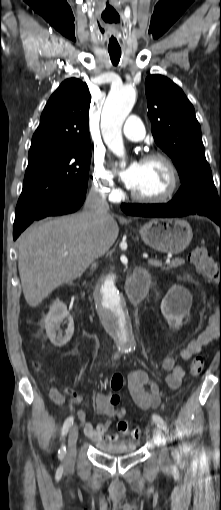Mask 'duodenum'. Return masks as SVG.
I'll list each match as a JSON object with an SVG mask.
<instances>
[{
	"label": "duodenum",
	"mask_w": 221,
	"mask_h": 510,
	"mask_svg": "<svg viewBox=\"0 0 221 510\" xmlns=\"http://www.w3.org/2000/svg\"><path fill=\"white\" fill-rule=\"evenodd\" d=\"M151 284L150 273L143 268H139L126 287L129 300L133 305L138 304L147 294Z\"/></svg>",
	"instance_id": "410a0bca"
}]
</instances>
